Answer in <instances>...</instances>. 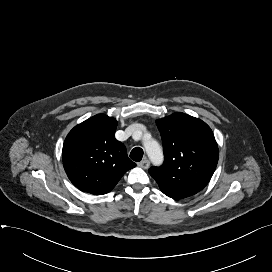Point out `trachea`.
Returning <instances> with one entry per match:
<instances>
[{
	"label": "trachea",
	"mask_w": 272,
	"mask_h": 272,
	"mask_svg": "<svg viewBox=\"0 0 272 272\" xmlns=\"http://www.w3.org/2000/svg\"><path fill=\"white\" fill-rule=\"evenodd\" d=\"M142 157H143V150L140 147H135L130 153V158L136 162L141 161Z\"/></svg>",
	"instance_id": "obj_1"
}]
</instances>
